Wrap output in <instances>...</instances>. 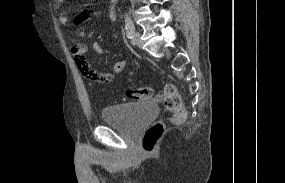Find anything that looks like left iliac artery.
<instances>
[{"label": "left iliac artery", "instance_id": "44dca946", "mask_svg": "<svg viewBox=\"0 0 285 183\" xmlns=\"http://www.w3.org/2000/svg\"><path fill=\"white\" fill-rule=\"evenodd\" d=\"M125 29H126L127 37L129 39L132 38V36L135 32V27H134L132 20L128 16V14L125 15Z\"/></svg>", "mask_w": 285, "mask_h": 183}]
</instances>
